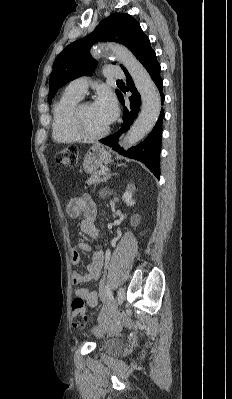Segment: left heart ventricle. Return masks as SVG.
Here are the masks:
<instances>
[{"mask_svg":"<svg viewBox=\"0 0 232 399\" xmlns=\"http://www.w3.org/2000/svg\"><path fill=\"white\" fill-rule=\"evenodd\" d=\"M81 125L84 131L91 135L101 134L109 128L93 110L92 106L83 109L81 113Z\"/></svg>","mask_w":232,"mask_h":399,"instance_id":"left-heart-ventricle-1","label":"left heart ventricle"}]
</instances>
